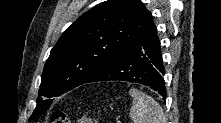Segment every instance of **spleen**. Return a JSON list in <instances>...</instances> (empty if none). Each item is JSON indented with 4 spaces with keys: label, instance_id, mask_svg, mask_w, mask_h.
I'll return each mask as SVG.
<instances>
[{
    "label": "spleen",
    "instance_id": "obj_1",
    "mask_svg": "<svg viewBox=\"0 0 221 123\" xmlns=\"http://www.w3.org/2000/svg\"><path fill=\"white\" fill-rule=\"evenodd\" d=\"M129 94L133 100L129 113L133 123H165L161 106L151 96L135 88Z\"/></svg>",
    "mask_w": 221,
    "mask_h": 123
}]
</instances>
